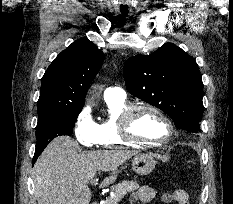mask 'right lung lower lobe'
<instances>
[{
    "mask_svg": "<svg viewBox=\"0 0 233 204\" xmlns=\"http://www.w3.org/2000/svg\"><path fill=\"white\" fill-rule=\"evenodd\" d=\"M46 145H36V150H35V154H34V158H33V164L36 161V159L38 158V156L42 153V151L45 149Z\"/></svg>",
    "mask_w": 233,
    "mask_h": 204,
    "instance_id": "1",
    "label": "right lung lower lobe"
}]
</instances>
